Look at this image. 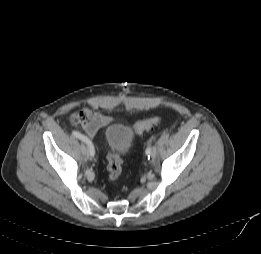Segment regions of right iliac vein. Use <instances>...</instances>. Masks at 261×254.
I'll return each instance as SVG.
<instances>
[{
  "label": "right iliac vein",
  "mask_w": 261,
  "mask_h": 254,
  "mask_svg": "<svg viewBox=\"0 0 261 254\" xmlns=\"http://www.w3.org/2000/svg\"><path fill=\"white\" fill-rule=\"evenodd\" d=\"M81 151H82L83 154L87 153V149H86L85 145L81 146Z\"/></svg>",
  "instance_id": "right-iliac-vein-1"
}]
</instances>
